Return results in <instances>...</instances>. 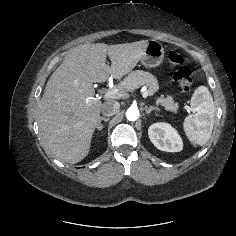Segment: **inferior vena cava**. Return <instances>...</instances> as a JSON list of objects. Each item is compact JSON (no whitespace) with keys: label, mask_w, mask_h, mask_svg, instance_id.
Returning <instances> with one entry per match:
<instances>
[{"label":"inferior vena cava","mask_w":236,"mask_h":236,"mask_svg":"<svg viewBox=\"0 0 236 236\" xmlns=\"http://www.w3.org/2000/svg\"><path fill=\"white\" fill-rule=\"evenodd\" d=\"M120 108V104L117 101L114 100H108L104 102V104L101 107V112L103 116H113L114 114L118 113Z\"/></svg>","instance_id":"602c4592"}]
</instances>
